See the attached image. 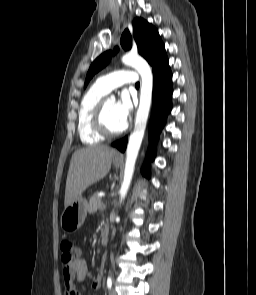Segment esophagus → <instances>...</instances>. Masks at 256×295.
Wrapping results in <instances>:
<instances>
[{
	"label": "esophagus",
	"instance_id": "esophagus-1",
	"mask_svg": "<svg viewBox=\"0 0 256 295\" xmlns=\"http://www.w3.org/2000/svg\"><path fill=\"white\" fill-rule=\"evenodd\" d=\"M117 157L118 158H123V155L122 154H118Z\"/></svg>",
	"mask_w": 256,
	"mask_h": 295
}]
</instances>
